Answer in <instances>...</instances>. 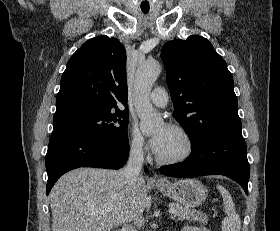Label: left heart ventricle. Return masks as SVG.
Here are the masks:
<instances>
[{
    "label": "left heart ventricle",
    "instance_id": "1",
    "mask_svg": "<svg viewBox=\"0 0 280 231\" xmlns=\"http://www.w3.org/2000/svg\"><path fill=\"white\" fill-rule=\"evenodd\" d=\"M160 130L157 129L155 133H157ZM186 149V143L184 139L178 135L173 129H171L169 140L163 149V151L159 154L163 157H173L175 155L181 154Z\"/></svg>",
    "mask_w": 280,
    "mask_h": 231
}]
</instances>
